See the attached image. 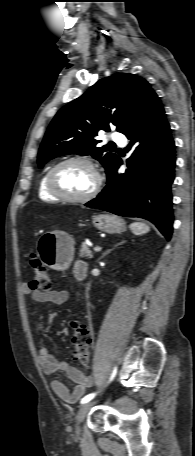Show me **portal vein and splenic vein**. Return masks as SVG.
I'll use <instances>...</instances> for the list:
<instances>
[{
	"instance_id": "obj_1",
	"label": "portal vein and splenic vein",
	"mask_w": 195,
	"mask_h": 456,
	"mask_svg": "<svg viewBox=\"0 0 195 456\" xmlns=\"http://www.w3.org/2000/svg\"><path fill=\"white\" fill-rule=\"evenodd\" d=\"M101 249H102L101 247H95V248H94V251H95V252H100Z\"/></svg>"
}]
</instances>
